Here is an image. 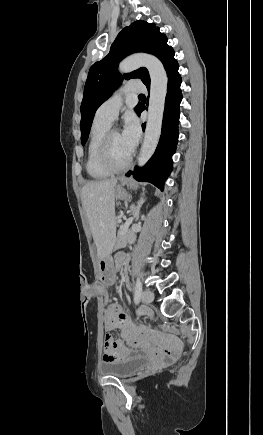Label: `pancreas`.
<instances>
[{"instance_id": "obj_1", "label": "pancreas", "mask_w": 263, "mask_h": 435, "mask_svg": "<svg viewBox=\"0 0 263 435\" xmlns=\"http://www.w3.org/2000/svg\"><path fill=\"white\" fill-rule=\"evenodd\" d=\"M123 228H120L118 231L117 241H116V249L123 248L127 245V243H130L134 240L135 235L130 231L127 230L124 234L122 233Z\"/></svg>"}]
</instances>
